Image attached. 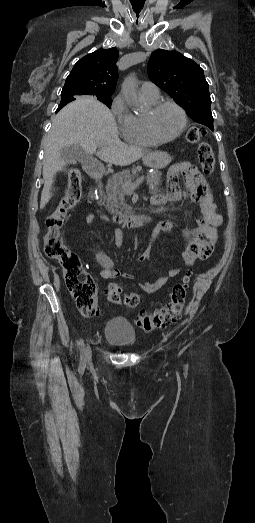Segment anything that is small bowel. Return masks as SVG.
<instances>
[{"instance_id": "c3829d8e", "label": "small bowel", "mask_w": 255, "mask_h": 523, "mask_svg": "<svg viewBox=\"0 0 255 523\" xmlns=\"http://www.w3.org/2000/svg\"><path fill=\"white\" fill-rule=\"evenodd\" d=\"M178 168L183 173L186 181V188H180L177 181H173L170 185V191L167 197L155 196L152 198V203L155 205L163 202L175 201L181 197H187L193 202L198 203L202 217L198 220L197 226L192 229L184 231V239L186 241V248L182 252V258L187 266H192L197 260H205L210 257L213 252L214 245L217 240V228L222 222V217L218 212V207L214 202L211 191L198 171L197 167L190 163H182ZM93 215L86 217V222L94 223ZM174 228V224L170 220L159 221L152 231V239L156 238L161 232H169ZM123 242V231L121 228H116L114 232V243L116 247H121ZM95 258L99 264V276L102 279H111L119 275L126 279H133L134 275L130 272H120L114 267V261L103 251H97ZM151 258V244L145 251L137 258V261H149ZM181 272V268L174 267L169 270L166 276L159 277L153 281L140 282V288L147 294L154 293L161 289L166 283L176 277Z\"/></svg>"}]
</instances>
